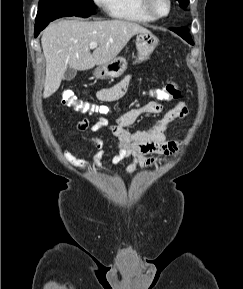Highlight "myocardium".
Returning <instances> with one entry per match:
<instances>
[{"mask_svg": "<svg viewBox=\"0 0 243 289\" xmlns=\"http://www.w3.org/2000/svg\"><path fill=\"white\" fill-rule=\"evenodd\" d=\"M140 1H141V7L144 10V12L155 20L165 18L171 13L172 0H166L168 4V9L165 14H158L154 11L152 0H140Z\"/></svg>", "mask_w": 243, "mask_h": 289, "instance_id": "1", "label": "myocardium"}]
</instances>
